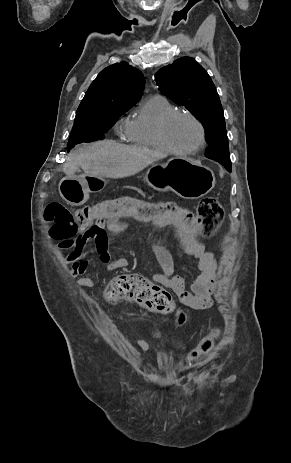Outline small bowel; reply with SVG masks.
<instances>
[{
    "label": "small bowel",
    "instance_id": "small-bowel-1",
    "mask_svg": "<svg viewBox=\"0 0 291 463\" xmlns=\"http://www.w3.org/2000/svg\"><path fill=\"white\" fill-rule=\"evenodd\" d=\"M124 218L127 217H101L95 227L83 232L76 239L72 251L63 257L65 262L71 264L68 275L74 278L76 287H93L97 282L94 278L86 276L89 262L86 246L90 243H94L101 262L109 271L128 267V261L124 257L112 254L109 248V235H117L126 229V225L122 223ZM157 227L173 228L181 245L182 256L193 257L197 260L198 275L187 288L188 275L176 274L171 253L162 244L149 237L152 251L162 267V271L153 274L152 279L172 290L180 302L188 308L195 310L211 308L214 305L213 294L217 280L221 275V270L217 266L213 253L205 250L197 233L180 231L176 226ZM58 247L64 249L59 243Z\"/></svg>",
    "mask_w": 291,
    "mask_h": 463
}]
</instances>
